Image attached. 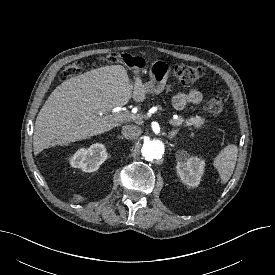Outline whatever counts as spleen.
<instances>
[{
	"instance_id": "1",
	"label": "spleen",
	"mask_w": 275,
	"mask_h": 275,
	"mask_svg": "<svg viewBox=\"0 0 275 275\" xmlns=\"http://www.w3.org/2000/svg\"><path fill=\"white\" fill-rule=\"evenodd\" d=\"M237 154V146L235 144H229L214 158L213 165L217 169L222 183H226L233 174Z\"/></svg>"
}]
</instances>
